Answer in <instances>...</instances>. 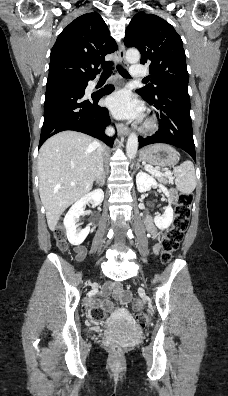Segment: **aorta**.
I'll return each mask as SVG.
<instances>
[{"instance_id": "762f6f07", "label": "aorta", "mask_w": 228, "mask_h": 396, "mask_svg": "<svg viewBox=\"0 0 228 396\" xmlns=\"http://www.w3.org/2000/svg\"><path fill=\"white\" fill-rule=\"evenodd\" d=\"M126 60L130 63H137L140 60V53L137 49H128L126 52ZM138 149V137L135 133H131L126 144V154L128 158L133 159Z\"/></svg>"}]
</instances>
